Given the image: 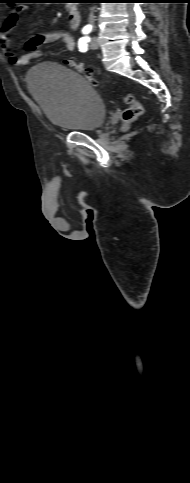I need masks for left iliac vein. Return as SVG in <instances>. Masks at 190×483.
<instances>
[{
  "instance_id": "1",
  "label": "left iliac vein",
  "mask_w": 190,
  "mask_h": 483,
  "mask_svg": "<svg viewBox=\"0 0 190 483\" xmlns=\"http://www.w3.org/2000/svg\"><path fill=\"white\" fill-rule=\"evenodd\" d=\"M98 41L96 37H93L90 41V48L91 49H97L98 48Z\"/></svg>"
}]
</instances>
